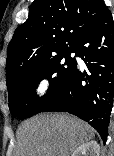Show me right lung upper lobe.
<instances>
[{
    "instance_id": "right-lung-upper-lobe-1",
    "label": "right lung upper lobe",
    "mask_w": 114,
    "mask_h": 156,
    "mask_svg": "<svg viewBox=\"0 0 114 156\" xmlns=\"http://www.w3.org/2000/svg\"><path fill=\"white\" fill-rule=\"evenodd\" d=\"M107 9L102 0H34L9 46L7 87L23 72L73 49Z\"/></svg>"
}]
</instances>
